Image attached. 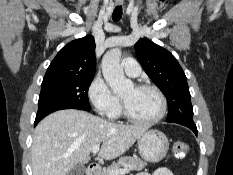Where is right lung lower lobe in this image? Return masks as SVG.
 <instances>
[{"label":"right lung lower lobe","instance_id":"1","mask_svg":"<svg viewBox=\"0 0 233 175\" xmlns=\"http://www.w3.org/2000/svg\"><path fill=\"white\" fill-rule=\"evenodd\" d=\"M52 112H54V111H50V112H48L46 114H43L41 116H36V119H35V122H34V126H36L40 120H42L45 116H47L48 114H50Z\"/></svg>","mask_w":233,"mask_h":175}]
</instances>
